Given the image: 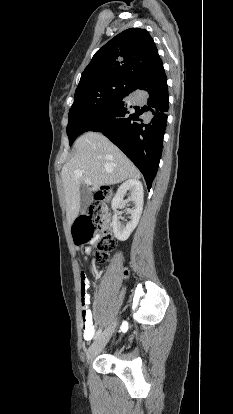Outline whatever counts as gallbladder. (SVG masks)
<instances>
[{"mask_svg":"<svg viewBox=\"0 0 233 414\" xmlns=\"http://www.w3.org/2000/svg\"><path fill=\"white\" fill-rule=\"evenodd\" d=\"M92 202V195L87 185L80 187V210H86Z\"/></svg>","mask_w":233,"mask_h":414,"instance_id":"gallbladder-1","label":"gallbladder"}]
</instances>
